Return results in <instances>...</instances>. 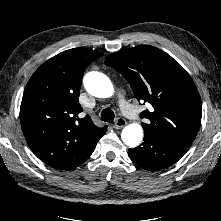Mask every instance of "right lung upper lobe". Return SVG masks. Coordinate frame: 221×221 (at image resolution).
Listing matches in <instances>:
<instances>
[{
  "label": "right lung upper lobe",
  "mask_w": 221,
  "mask_h": 221,
  "mask_svg": "<svg viewBox=\"0 0 221 221\" xmlns=\"http://www.w3.org/2000/svg\"><path fill=\"white\" fill-rule=\"evenodd\" d=\"M103 53L74 48L43 63L30 78L20 106L23 134L47 165L72 170L94 151L107 127L95 126L78 103L86 67Z\"/></svg>",
  "instance_id": "cb5924a9"
}]
</instances>
